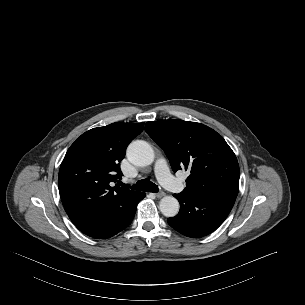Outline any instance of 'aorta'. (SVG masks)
I'll return each mask as SVG.
<instances>
[{
	"mask_svg": "<svg viewBox=\"0 0 305 305\" xmlns=\"http://www.w3.org/2000/svg\"><path fill=\"white\" fill-rule=\"evenodd\" d=\"M128 160L136 166H147L154 161V151L149 143L136 140L127 148ZM179 202L173 196H165L160 200L159 209L166 217H174L179 212Z\"/></svg>",
	"mask_w": 305,
	"mask_h": 305,
	"instance_id": "762f6f07",
	"label": "aorta"
}]
</instances>
